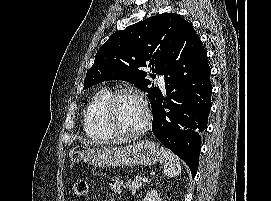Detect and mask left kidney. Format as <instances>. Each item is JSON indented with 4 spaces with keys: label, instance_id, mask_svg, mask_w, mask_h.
<instances>
[{
    "label": "left kidney",
    "instance_id": "1",
    "mask_svg": "<svg viewBox=\"0 0 271 201\" xmlns=\"http://www.w3.org/2000/svg\"><path fill=\"white\" fill-rule=\"evenodd\" d=\"M143 201H162L156 190H151L146 194Z\"/></svg>",
    "mask_w": 271,
    "mask_h": 201
}]
</instances>
